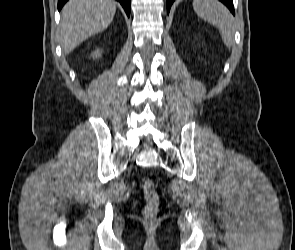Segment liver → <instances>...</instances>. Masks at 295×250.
Here are the masks:
<instances>
[{"instance_id": "1", "label": "liver", "mask_w": 295, "mask_h": 250, "mask_svg": "<svg viewBox=\"0 0 295 250\" xmlns=\"http://www.w3.org/2000/svg\"><path fill=\"white\" fill-rule=\"evenodd\" d=\"M116 12L111 0H69L63 7L60 39L65 54L89 37L105 30Z\"/></svg>"}]
</instances>
